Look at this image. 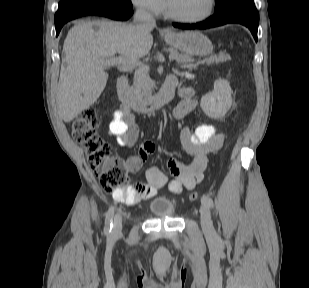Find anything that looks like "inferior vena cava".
<instances>
[{
	"label": "inferior vena cava",
	"instance_id": "inferior-vena-cava-1",
	"mask_svg": "<svg viewBox=\"0 0 309 288\" xmlns=\"http://www.w3.org/2000/svg\"><path fill=\"white\" fill-rule=\"evenodd\" d=\"M134 24L138 28H154L156 26L154 17L142 7H138L134 14Z\"/></svg>",
	"mask_w": 309,
	"mask_h": 288
}]
</instances>
